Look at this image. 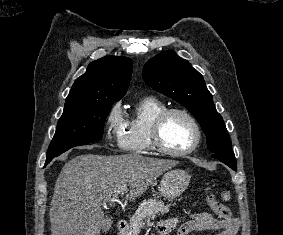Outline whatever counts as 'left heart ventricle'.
Segmentation results:
<instances>
[{"label": "left heart ventricle", "mask_w": 283, "mask_h": 235, "mask_svg": "<svg viewBox=\"0 0 283 235\" xmlns=\"http://www.w3.org/2000/svg\"><path fill=\"white\" fill-rule=\"evenodd\" d=\"M161 137L167 148L180 151L193 143L195 130L185 116L173 114L164 122Z\"/></svg>", "instance_id": "obj_1"}]
</instances>
